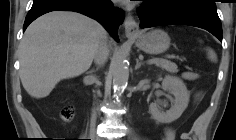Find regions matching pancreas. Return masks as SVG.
Returning a JSON list of instances; mask_svg holds the SVG:
<instances>
[{"instance_id":"obj_1","label":"pancreas","mask_w":236,"mask_h":140,"mask_svg":"<svg viewBox=\"0 0 236 140\" xmlns=\"http://www.w3.org/2000/svg\"><path fill=\"white\" fill-rule=\"evenodd\" d=\"M158 67H161L162 69H165L166 71L170 73H177L178 72V67L175 63L165 60V59H160L158 62L155 63Z\"/></svg>"}]
</instances>
